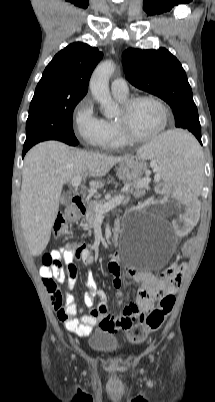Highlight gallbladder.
Wrapping results in <instances>:
<instances>
[{
  "label": "gallbladder",
  "mask_w": 215,
  "mask_h": 402,
  "mask_svg": "<svg viewBox=\"0 0 215 402\" xmlns=\"http://www.w3.org/2000/svg\"><path fill=\"white\" fill-rule=\"evenodd\" d=\"M60 202L63 205H67L71 202V197L68 194H62L61 198H60Z\"/></svg>",
  "instance_id": "obj_1"
}]
</instances>
